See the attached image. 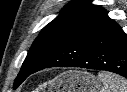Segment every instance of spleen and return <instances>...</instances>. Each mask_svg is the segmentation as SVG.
Instances as JSON below:
<instances>
[{"mask_svg":"<svg viewBox=\"0 0 127 92\" xmlns=\"http://www.w3.org/2000/svg\"><path fill=\"white\" fill-rule=\"evenodd\" d=\"M98 79L103 85L100 92H127V80L118 75L100 72Z\"/></svg>","mask_w":127,"mask_h":92,"instance_id":"spleen-1","label":"spleen"}]
</instances>
